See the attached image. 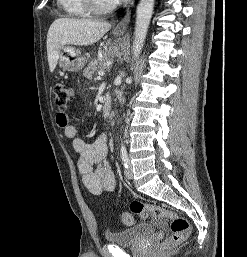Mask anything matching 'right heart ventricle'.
<instances>
[{
	"mask_svg": "<svg viewBox=\"0 0 247 257\" xmlns=\"http://www.w3.org/2000/svg\"><path fill=\"white\" fill-rule=\"evenodd\" d=\"M64 14L71 18H82L89 15L83 0H57Z\"/></svg>",
	"mask_w": 247,
	"mask_h": 257,
	"instance_id": "right-heart-ventricle-1",
	"label": "right heart ventricle"
}]
</instances>
